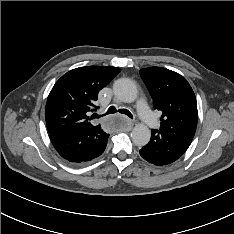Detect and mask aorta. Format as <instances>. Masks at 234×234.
Listing matches in <instances>:
<instances>
[{
  "label": "aorta",
  "instance_id": "obj_1",
  "mask_svg": "<svg viewBox=\"0 0 234 234\" xmlns=\"http://www.w3.org/2000/svg\"><path fill=\"white\" fill-rule=\"evenodd\" d=\"M115 96L122 102L132 103L137 98L135 83L128 78H120L113 85ZM151 132L144 124H137L131 133L132 141L137 146H144L150 141Z\"/></svg>",
  "mask_w": 234,
  "mask_h": 234
}]
</instances>
